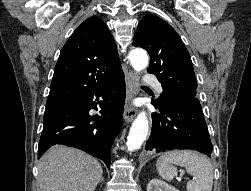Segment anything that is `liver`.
Listing matches in <instances>:
<instances>
[{
  "label": "liver",
  "instance_id": "obj_1",
  "mask_svg": "<svg viewBox=\"0 0 251 191\" xmlns=\"http://www.w3.org/2000/svg\"><path fill=\"white\" fill-rule=\"evenodd\" d=\"M102 165L75 147L52 145L39 159L40 191H94Z\"/></svg>",
  "mask_w": 251,
  "mask_h": 191
}]
</instances>
